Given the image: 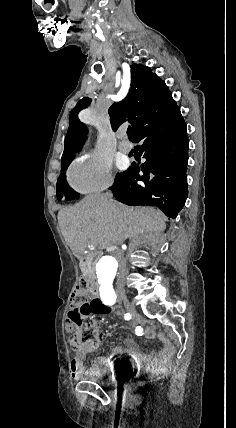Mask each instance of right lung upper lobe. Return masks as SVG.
<instances>
[{
	"label": "right lung upper lobe",
	"mask_w": 236,
	"mask_h": 428,
	"mask_svg": "<svg viewBox=\"0 0 236 428\" xmlns=\"http://www.w3.org/2000/svg\"><path fill=\"white\" fill-rule=\"evenodd\" d=\"M131 79V87L127 97L112 104L108 110L114 131L126 120L131 123L130 139L148 121L171 111L176 106L164 81L153 74L149 67L141 64L131 65ZM90 102V98L81 99L70 113L69 128L61 159V170L68 167L74 159L75 153L80 151L84 143L87 129L79 121L77 115Z\"/></svg>",
	"instance_id": "cb5924a9"
}]
</instances>
